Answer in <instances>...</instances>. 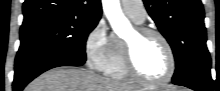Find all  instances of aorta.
I'll use <instances>...</instances> for the list:
<instances>
[{
  "mask_svg": "<svg viewBox=\"0 0 220 91\" xmlns=\"http://www.w3.org/2000/svg\"><path fill=\"white\" fill-rule=\"evenodd\" d=\"M102 6L113 30L120 34L128 26V21L122 13L119 0H102Z\"/></svg>",
  "mask_w": 220,
  "mask_h": 91,
  "instance_id": "aorta-1",
  "label": "aorta"
}]
</instances>
